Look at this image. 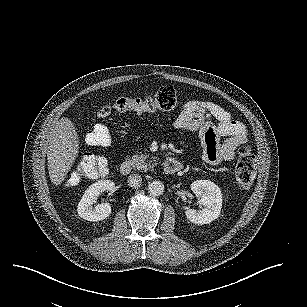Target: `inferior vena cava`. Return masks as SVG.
I'll return each instance as SVG.
<instances>
[{"label":"inferior vena cava","mask_w":307,"mask_h":307,"mask_svg":"<svg viewBox=\"0 0 307 307\" xmlns=\"http://www.w3.org/2000/svg\"><path fill=\"white\" fill-rule=\"evenodd\" d=\"M127 183L130 187L139 188L142 184V177L139 174H131L128 177Z\"/></svg>","instance_id":"1"}]
</instances>
